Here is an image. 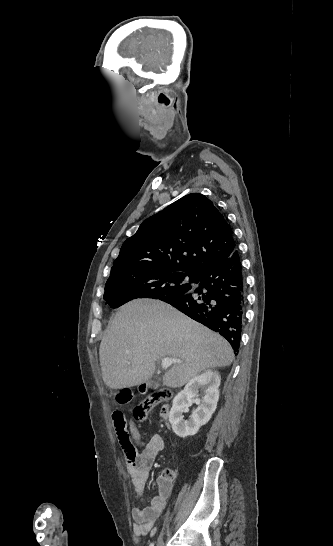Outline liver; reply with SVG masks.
Listing matches in <instances>:
<instances>
[{"mask_svg": "<svg viewBox=\"0 0 333 546\" xmlns=\"http://www.w3.org/2000/svg\"><path fill=\"white\" fill-rule=\"evenodd\" d=\"M102 378L111 389L147 382L156 362L180 359L163 383L180 387L202 371L229 366L234 353L219 334L170 305L152 299L133 300L120 307L109 323L99 349Z\"/></svg>", "mask_w": 333, "mask_h": 546, "instance_id": "6515ba94", "label": "liver"}]
</instances>
